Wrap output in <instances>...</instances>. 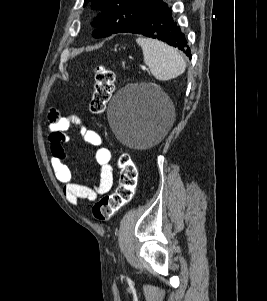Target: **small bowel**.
Masks as SVG:
<instances>
[{
  "label": "small bowel",
  "instance_id": "1",
  "mask_svg": "<svg viewBox=\"0 0 267 301\" xmlns=\"http://www.w3.org/2000/svg\"><path fill=\"white\" fill-rule=\"evenodd\" d=\"M49 142L51 149V166L59 182L64 185V193L68 201L76 205L79 199L94 201L98 196L109 192L113 186L112 153L103 145L101 135L88 129L84 121L77 115L60 116L57 111L49 113ZM77 128L83 141L95 150V161L99 165V181L97 185H87L74 180L71 169L65 161L63 144L70 140L68 131Z\"/></svg>",
  "mask_w": 267,
  "mask_h": 301
}]
</instances>
